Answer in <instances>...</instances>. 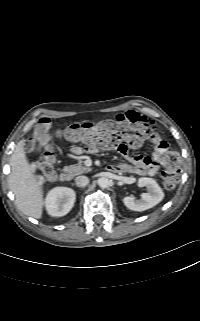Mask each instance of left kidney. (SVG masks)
<instances>
[{
	"label": "left kidney",
	"mask_w": 200,
	"mask_h": 321,
	"mask_svg": "<svg viewBox=\"0 0 200 321\" xmlns=\"http://www.w3.org/2000/svg\"><path fill=\"white\" fill-rule=\"evenodd\" d=\"M139 187H146L148 193H143L140 200H135L133 196H126L123 198L124 205L133 211H145L160 203L164 198V193L158 183L147 177L138 179Z\"/></svg>",
	"instance_id": "left-kidney-1"
}]
</instances>
